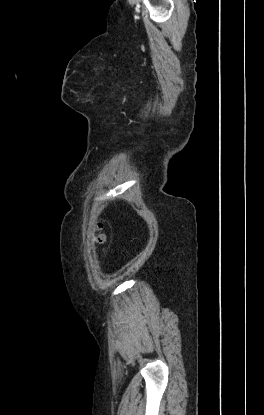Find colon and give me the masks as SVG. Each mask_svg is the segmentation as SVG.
Wrapping results in <instances>:
<instances>
[{
	"label": "colon",
	"instance_id": "colon-1",
	"mask_svg": "<svg viewBox=\"0 0 264 415\" xmlns=\"http://www.w3.org/2000/svg\"><path fill=\"white\" fill-rule=\"evenodd\" d=\"M104 239H105L104 235H102V234H99L98 237H97L98 242H103Z\"/></svg>",
	"mask_w": 264,
	"mask_h": 415
}]
</instances>
